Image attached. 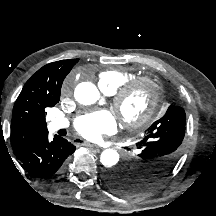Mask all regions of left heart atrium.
Here are the masks:
<instances>
[{"instance_id":"obj_1","label":"left heart atrium","mask_w":216,"mask_h":216,"mask_svg":"<svg viewBox=\"0 0 216 216\" xmlns=\"http://www.w3.org/2000/svg\"><path fill=\"white\" fill-rule=\"evenodd\" d=\"M117 122L108 110H98L80 115L75 120V129L85 138L96 140L103 134L115 131Z\"/></svg>"}]
</instances>
